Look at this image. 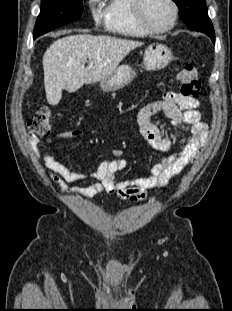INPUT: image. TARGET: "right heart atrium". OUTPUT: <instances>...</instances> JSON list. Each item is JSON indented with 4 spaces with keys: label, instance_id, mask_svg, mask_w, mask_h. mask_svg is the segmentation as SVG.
<instances>
[{
    "label": "right heart atrium",
    "instance_id": "1",
    "mask_svg": "<svg viewBox=\"0 0 232 311\" xmlns=\"http://www.w3.org/2000/svg\"><path fill=\"white\" fill-rule=\"evenodd\" d=\"M99 0H88L89 7L92 11L93 19L96 22H100L104 19L103 14L100 12V10L97 8Z\"/></svg>",
    "mask_w": 232,
    "mask_h": 311
}]
</instances>
